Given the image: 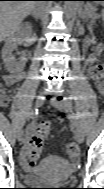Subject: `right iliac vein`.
Returning a JSON list of instances; mask_svg holds the SVG:
<instances>
[{
  "label": "right iliac vein",
  "instance_id": "right-iliac-vein-1",
  "mask_svg": "<svg viewBox=\"0 0 104 189\" xmlns=\"http://www.w3.org/2000/svg\"><path fill=\"white\" fill-rule=\"evenodd\" d=\"M43 100H44L43 94L37 96V98H36V100H35V107L38 108V107L42 106ZM17 139H18L20 142L24 141V138H23V131H22V130L18 131Z\"/></svg>",
  "mask_w": 104,
  "mask_h": 189
}]
</instances>
